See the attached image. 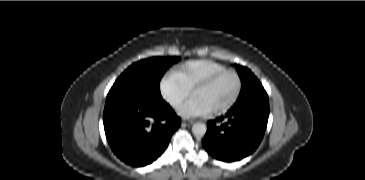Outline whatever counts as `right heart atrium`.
I'll use <instances>...</instances> for the list:
<instances>
[{
	"mask_svg": "<svg viewBox=\"0 0 365 180\" xmlns=\"http://www.w3.org/2000/svg\"><path fill=\"white\" fill-rule=\"evenodd\" d=\"M161 94L173 107L177 108L188 98V91L179 84L174 73L166 75L160 83Z\"/></svg>",
	"mask_w": 365,
	"mask_h": 180,
	"instance_id": "right-heart-atrium-1",
	"label": "right heart atrium"
}]
</instances>
